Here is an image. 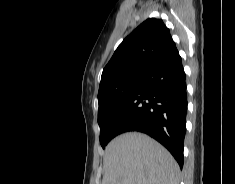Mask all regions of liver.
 I'll list each match as a JSON object with an SVG mask.
<instances>
[{"label":"liver","instance_id":"6515ba94","mask_svg":"<svg viewBox=\"0 0 235 184\" xmlns=\"http://www.w3.org/2000/svg\"><path fill=\"white\" fill-rule=\"evenodd\" d=\"M103 184H179V166L171 154L138 132L114 138L106 146Z\"/></svg>","mask_w":235,"mask_h":184}]
</instances>
